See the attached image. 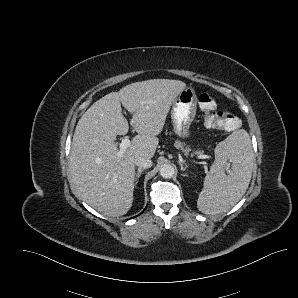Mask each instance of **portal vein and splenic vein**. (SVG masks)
I'll return each mask as SVG.
<instances>
[{
	"mask_svg": "<svg viewBox=\"0 0 298 298\" xmlns=\"http://www.w3.org/2000/svg\"><path fill=\"white\" fill-rule=\"evenodd\" d=\"M131 145V142L129 140V138L125 137L124 139H122L121 143L119 144V151L117 152V157L121 158L123 156V154L126 152L127 148H129ZM199 159H208L210 158V156L205 155V154H201L198 156Z\"/></svg>",
	"mask_w": 298,
	"mask_h": 298,
	"instance_id": "obj_1",
	"label": "portal vein and splenic vein"
}]
</instances>
